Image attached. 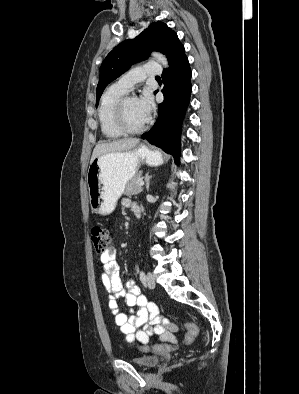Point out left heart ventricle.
Listing matches in <instances>:
<instances>
[{
	"instance_id": "b2bd125f",
	"label": "left heart ventricle",
	"mask_w": 299,
	"mask_h": 394,
	"mask_svg": "<svg viewBox=\"0 0 299 394\" xmlns=\"http://www.w3.org/2000/svg\"><path fill=\"white\" fill-rule=\"evenodd\" d=\"M124 116L126 123L130 127H138L147 119L139 109L136 99H129L126 102L124 107Z\"/></svg>"
}]
</instances>
